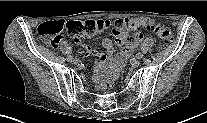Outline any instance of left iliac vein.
I'll return each mask as SVG.
<instances>
[{
    "instance_id": "1",
    "label": "left iliac vein",
    "mask_w": 207,
    "mask_h": 123,
    "mask_svg": "<svg viewBox=\"0 0 207 123\" xmlns=\"http://www.w3.org/2000/svg\"><path fill=\"white\" fill-rule=\"evenodd\" d=\"M139 65H140V61L137 60V59H134V60L131 62V66H132L133 68H137V67H139Z\"/></svg>"
}]
</instances>
